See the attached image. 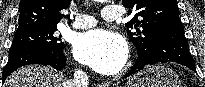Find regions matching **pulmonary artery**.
Instances as JSON below:
<instances>
[{
  "mask_svg": "<svg viewBox=\"0 0 205 87\" xmlns=\"http://www.w3.org/2000/svg\"><path fill=\"white\" fill-rule=\"evenodd\" d=\"M121 16V12L117 6H106L102 10V17L107 21H114ZM73 28L76 29H88L92 28L97 24L94 17L84 14H76L74 16Z\"/></svg>",
  "mask_w": 205,
  "mask_h": 87,
  "instance_id": "1",
  "label": "pulmonary artery"
}]
</instances>
